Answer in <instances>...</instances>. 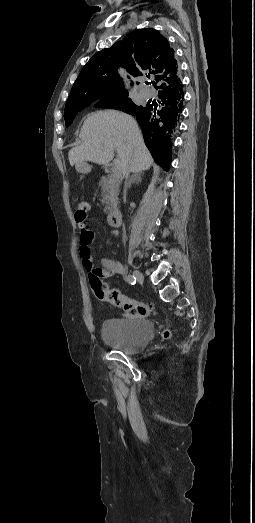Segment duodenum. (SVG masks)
<instances>
[{
  "label": "duodenum",
  "mask_w": 255,
  "mask_h": 523,
  "mask_svg": "<svg viewBox=\"0 0 255 523\" xmlns=\"http://www.w3.org/2000/svg\"><path fill=\"white\" fill-rule=\"evenodd\" d=\"M122 221L121 212L118 209L111 211L107 216V222L112 227H119Z\"/></svg>",
  "instance_id": "1"
}]
</instances>
